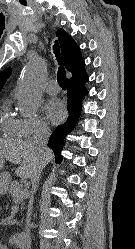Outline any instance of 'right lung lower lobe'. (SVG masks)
Segmentation results:
<instances>
[{
  "mask_svg": "<svg viewBox=\"0 0 135 249\" xmlns=\"http://www.w3.org/2000/svg\"><path fill=\"white\" fill-rule=\"evenodd\" d=\"M87 81H88V76L86 74L85 76H83L82 78L78 80L67 82V86H68L67 108L69 112V117H68V120L64 124L59 125L56 128V130L50 136V139L48 142V146L53 149L57 161H60L61 159L60 152L64 145L63 136L68 134L70 130H72L76 125L77 119L79 117V113L81 111V102H82L83 96L88 93L87 89H85V86H84V83Z\"/></svg>",
  "mask_w": 135,
  "mask_h": 249,
  "instance_id": "98d812e1",
  "label": "right lung lower lobe"
}]
</instances>
